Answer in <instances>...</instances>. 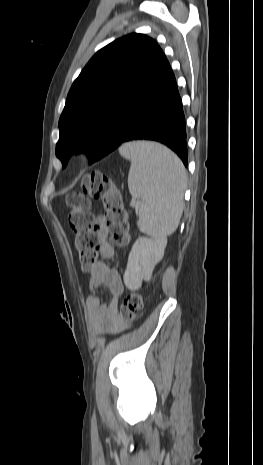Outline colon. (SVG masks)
Listing matches in <instances>:
<instances>
[{"label":"colon","mask_w":263,"mask_h":465,"mask_svg":"<svg viewBox=\"0 0 263 465\" xmlns=\"http://www.w3.org/2000/svg\"><path fill=\"white\" fill-rule=\"evenodd\" d=\"M91 199L102 201L105 213L95 218L90 212ZM66 203L70 208L68 224L75 236V248L84 271H90L96 264L99 248L97 225L103 224L113 243L125 246L129 242L127 213L122 197L113 180L100 172L85 175L81 181V190L67 195ZM142 308V296L139 293L128 294L120 307L117 321L125 324L133 320Z\"/></svg>","instance_id":"obj_1"}]
</instances>
